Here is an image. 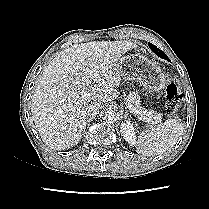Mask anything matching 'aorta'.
I'll return each instance as SVG.
<instances>
[{"label":"aorta","mask_w":209,"mask_h":209,"mask_svg":"<svg viewBox=\"0 0 209 209\" xmlns=\"http://www.w3.org/2000/svg\"><path fill=\"white\" fill-rule=\"evenodd\" d=\"M120 118L121 115L114 110H109L103 115L104 121L108 124H116L120 120Z\"/></svg>","instance_id":"762f6f07"}]
</instances>
